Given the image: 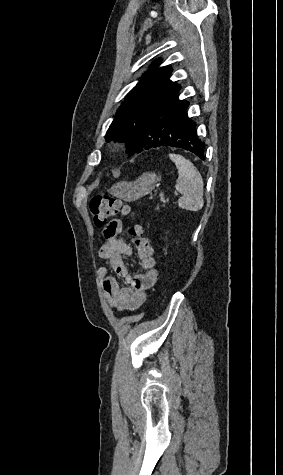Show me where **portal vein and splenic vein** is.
<instances>
[{
	"label": "portal vein and splenic vein",
	"instance_id": "portal-vein-and-splenic-vein-1",
	"mask_svg": "<svg viewBox=\"0 0 283 475\" xmlns=\"http://www.w3.org/2000/svg\"><path fill=\"white\" fill-rule=\"evenodd\" d=\"M173 193H174V195H175L176 198H179V197H180V194H179L180 192H179V190L176 189V190H174Z\"/></svg>",
	"mask_w": 283,
	"mask_h": 475
}]
</instances>
